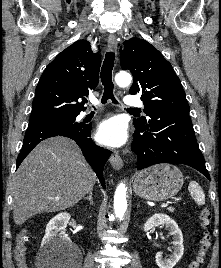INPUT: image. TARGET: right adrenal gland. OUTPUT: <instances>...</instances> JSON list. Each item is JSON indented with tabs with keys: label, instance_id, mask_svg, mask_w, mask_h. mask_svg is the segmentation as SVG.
<instances>
[{
	"label": "right adrenal gland",
	"instance_id": "2a0ac1e0",
	"mask_svg": "<svg viewBox=\"0 0 221 268\" xmlns=\"http://www.w3.org/2000/svg\"><path fill=\"white\" fill-rule=\"evenodd\" d=\"M92 194H93V190L90 191L89 194L86 197H84V200H89L90 205L94 204Z\"/></svg>",
	"mask_w": 221,
	"mask_h": 268
}]
</instances>
